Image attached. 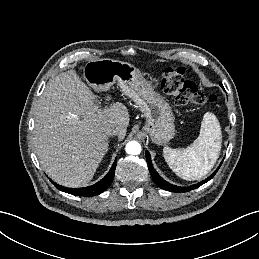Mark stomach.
Listing matches in <instances>:
<instances>
[{"label": "stomach", "mask_w": 259, "mask_h": 259, "mask_svg": "<svg viewBox=\"0 0 259 259\" xmlns=\"http://www.w3.org/2000/svg\"><path fill=\"white\" fill-rule=\"evenodd\" d=\"M83 75L98 90H107L117 82L121 91L140 108L146 119L144 130L155 144H165L174 137L171 106L154 91L138 68L128 62L102 58L90 60L83 68Z\"/></svg>", "instance_id": "0dacf381"}]
</instances>
